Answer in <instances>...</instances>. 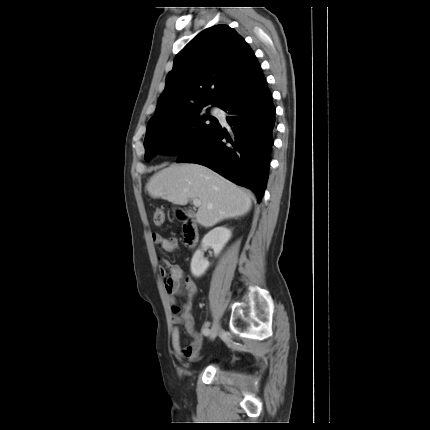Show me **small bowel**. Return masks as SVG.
<instances>
[{"mask_svg":"<svg viewBox=\"0 0 430 430\" xmlns=\"http://www.w3.org/2000/svg\"><path fill=\"white\" fill-rule=\"evenodd\" d=\"M152 239L154 243L159 245L166 252H175L178 249V241L174 237H164L159 233H153ZM165 266L169 269L170 274H165ZM159 270L163 275L162 280L165 285V290L170 296V303L176 304V296L185 298L184 311L181 316L174 315L172 321L174 327L171 332V347L175 356L179 359L193 361L199 356V352L203 346V338L197 334L194 329L192 311V300L197 294L198 288L195 281L186 276L183 269L177 264L165 262L159 265ZM184 324L186 329L194 336V340L186 347H181L179 340L178 325ZM210 323L205 322L203 331L209 328Z\"/></svg>","mask_w":430,"mask_h":430,"instance_id":"c3829d8e","label":"small bowel"}]
</instances>
